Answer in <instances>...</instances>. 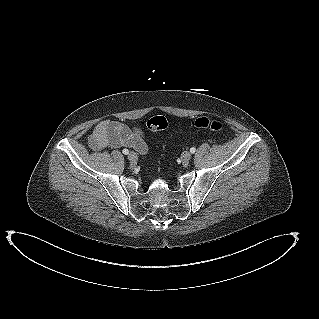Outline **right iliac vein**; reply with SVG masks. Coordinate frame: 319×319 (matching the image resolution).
Here are the masks:
<instances>
[{
  "label": "right iliac vein",
  "instance_id": "1",
  "mask_svg": "<svg viewBox=\"0 0 319 319\" xmlns=\"http://www.w3.org/2000/svg\"><path fill=\"white\" fill-rule=\"evenodd\" d=\"M128 159L130 160V162H136L138 160V157H137L136 153L130 152L128 154Z\"/></svg>",
  "mask_w": 319,
  "mask_h": 319
}]
</instances>
